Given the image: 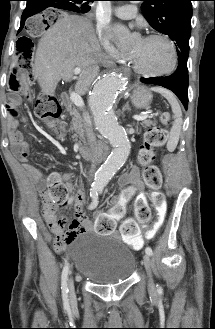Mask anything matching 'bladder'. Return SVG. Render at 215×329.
<instances>
[{"instance_id": "1", "label": "bladder", "mask_w": 215, "mask_h": 329, "mask_svg": "<svg viewBox=\"0 0 215 329\" xmlns=\"http://www.w3.org/2000/svg\"><path fill=\"white\" fill-rule=\"evenodd\" d=\"M69 249L79 276L94 284L125 281L136 267L133 252L113 235L84 232L77 236Z\"/></svg>"}]
</instances>
